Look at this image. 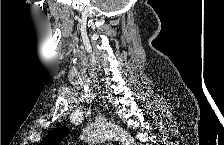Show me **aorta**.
Returning <instances> with one entry per match:
<instances>
[{"label":"aorta","mask_w":224,"mask_h":145,"mask_svg":"<svg viewBox=\"0 0 224 145\" xmlns=\"http://www.w3.org/2000/svg\"><path fill=\"white\" fill-rule=\"evenodd\" d=\"M82 139L88 142H104L118 139L123 145H134V139L122 127L111 123H94L82 133Z\"/></svg>","instance_id":"obj_1"}]
</instances>
